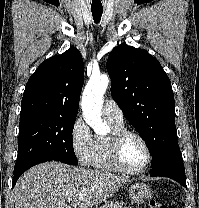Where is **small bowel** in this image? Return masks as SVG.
I'll return each instance as SVG.
<instances>
[{"label": "small bowel", "instance_id": "c3829d8e", "mask_svg": "<svg viewBox=\"0 0 199 208\" xmlns=\"http://www.w3.org/2000/svg\"><path fill=\"white\" fill-rule=\"evenodd\" d=\"M128 208H137V207H132V206H129Z\"/></svg>", "mask_w": 199, "mask_h": 208}]
</instances>
